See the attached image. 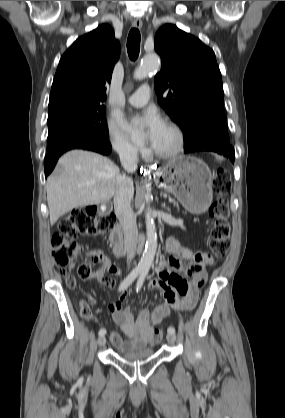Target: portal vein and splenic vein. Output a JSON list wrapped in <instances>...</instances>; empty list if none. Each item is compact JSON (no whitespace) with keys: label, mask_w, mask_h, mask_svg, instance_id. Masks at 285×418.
<instances>
[{"label":"portal vein and splenic vein","mask_w":285,"mask_h":418,"mask_svg":"<svg viewBox=\"0 0 285 418\" xmlns=\"http://www.w3.org/2000/svg\"><path fill=\"white\" fill-rule=\"evenodd\" d=\"M169 202H174L173 199L169 198Z\"/></svg>","instance_id":"portal-vein-and-splenic-vein-1"}]
</instances>
